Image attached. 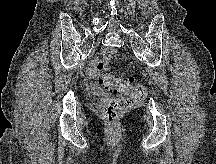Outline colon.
Segmentation results:
<instances>
[{
  "instance_id": "5ec220e1",
  "label": "colon",
  "mask_w": 216,
  "mask_h": 164,
  "mask_svg": "<svg viewBox=\"0 0 216 164\" xmlns=\"http://www.w3.org/2000/svg\"><path fill=\"white\" fill-rule=\"evenodd\" d=\"M112 58L111 54L106 55L98 63V69L104 71ZM101 83L106 90L118 96L109 100L103 109L105 119L111 124H115L125 110L140 102L145 95L144 87L136 84L131 77H117L104 73Z\"/></svg>"
}]
</instances>
